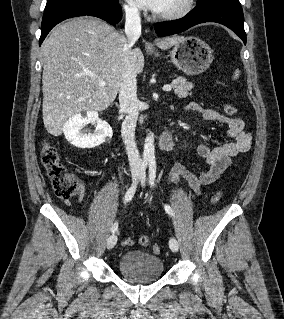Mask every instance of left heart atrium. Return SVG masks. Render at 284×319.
<instances>
[{"label": "left heart atrium", "mask_w": 284, "mask_h": 319, "mask_svg": "<svg viewBox=\"0 0 284 319\" xmlns=\"http://www.w3.org/2000/svg\"><path fill=\"white\" fill-rule=\"evenodd\" d=\"M134 4L140 8L150 10L153 12H158L163 0H131Z\"/></svg>", "instance_id": "39dd6f15"}]
</instances>
